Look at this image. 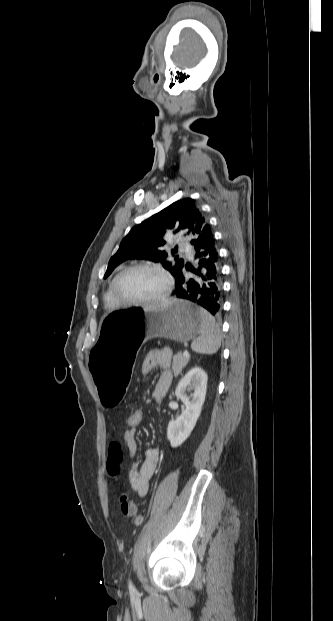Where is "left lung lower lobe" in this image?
Listing matches in <instances>:
<instances>
[{"mask_svg":"<svg viewBox=\"0 0 333 621\" xmlns=\"http://www.w3.org/2000/svg\"><path fill=\"white\" fill-rule=\"evenodd\" d=\"M193 258L197 266L184 265L194 274V277H184L182 269L177 273L176 286L173 296L178 299L194 302L212 315H220L222 310V277L220 256L215 246L211 228L205 226L196 240Z\"/></svg>","mask_w":333,"mask_h":621,"instance_id":"left-lung-lower-lobe-1","label":"left lung lower lobe"}]
</instances>
